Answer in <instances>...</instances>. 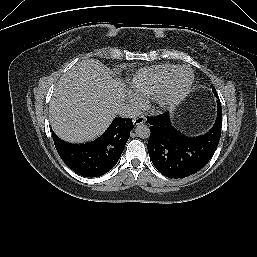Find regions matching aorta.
<instances>
[{"instance_id":"aorta-1","label":"aorta","mask_w":257,"mask_h":257,"mask_svg":"<svg viewBox=\"0 0 257 257\" xmlns=\"http://www.w3.org/2000/svg\"><path fill=\"white\" fill-rule=\"evenodd\" d=\"M135 133L139 138L146 139L150 136V129L145 124H139L135 129Z\"/></svg>"}]
</instances>
